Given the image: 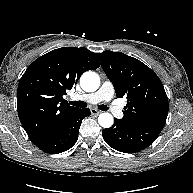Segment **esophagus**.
I'll return each mask as SVG.
<instances>
[{
    "label": "esophagus",
    "mask_w": 193,
    "mask_h": 193,
    "mask_svg": "<svg viewBox=\"0 0 193 193\" xmlns=\"http://www.w3.org/2000/svg\"><path fill=\"white\" fill-rule=\"evenodd\" d=\"M90 111H91V114L94 115V116H97V115H99L101 113V111H99V110H97L95 108H92Z\"/></svg>",
    "instance_id": "esophagus-1"
}]
</instances>
